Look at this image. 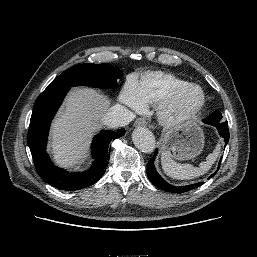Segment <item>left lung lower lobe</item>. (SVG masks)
Returning a JSON list of instances; mask_svg holds the SVG:
<instances>
[{"mask_svg": "<svg viewBox=\"0 0 257 257\" xmlns=\"http://www.w3.org/2000/svg\"><path fill=\"white\" fill-rule=\"evenodd\" d=\"M213 126L217 127L220 136H222L224 138L225 142L227 143L229 141V129L227 127L228 124L226 122H221V123H218ZM156 153L157 152H155L154 156L147 163V169H146V173H147L149 180L156 187H158L162 190H165V191L173 192V193H184V192L190 191L192 189H195L203 184V182H199V183H195V184H191V185H187V186H181V187H176V186L170 185L157 173V171L155 169L154 161H155ZM220 163H221V160L219 162L218 169H219ZM215 174H216V172L214 174H212L209 177V179L212 176H214Z\"/></svg>", "mask_w": 257, "mask_h": 257, "instance_id": "obj_1", "label": "left lung lower lobe"}]
</instances>
